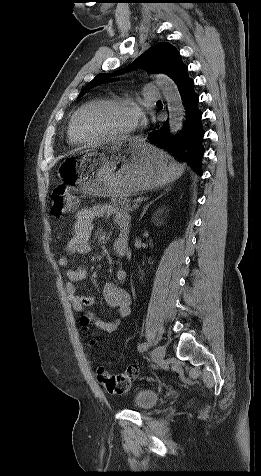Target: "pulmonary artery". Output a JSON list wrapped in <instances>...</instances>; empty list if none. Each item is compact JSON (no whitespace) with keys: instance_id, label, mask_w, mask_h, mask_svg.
I'll return each instance as SVG.
<instances>
[{"instance_id":"e3ab8cb5","label":"pulmonary artery","mask_w":261,"mask_h":476,"mask_svg":"<svg viewBox=\"0 0 261 476\" xmlns=\"http://www.w3.org/2000/svg\"><path fill=\"white\" fill-rule=\"evenodd\" d=\"M144 96L147 100L157 101L161 100L162 94L160 90L154 85H146L144 88Z\"/></svg>"}]
</instances>
